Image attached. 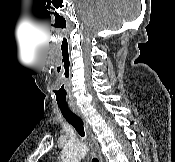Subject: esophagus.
I'll use <instances>...</instances> for the list:
<instances>
[{
	"mask_svg": "<svg viewBox=\"0 0 175 162\" xmlns=\"http://www.w3.org/2000/svg\"><path fill=\"white\" fill-rule=\"evenodd\" d=\"M72 111L78 115L84 124L89 142H90V147H91V154L92 156H95L98 158L99 162H103L102 156H101V151H100V146L99 143L96 139V136L94 135L85 115L82 113V111L80 110V108L78 107H71Z\"/></svg>",
	"mask_w": 175,
	"mask_h": 162,
	"instance_id": "esophagus-1",
	"label": "esophagus"
}]
</instances>
